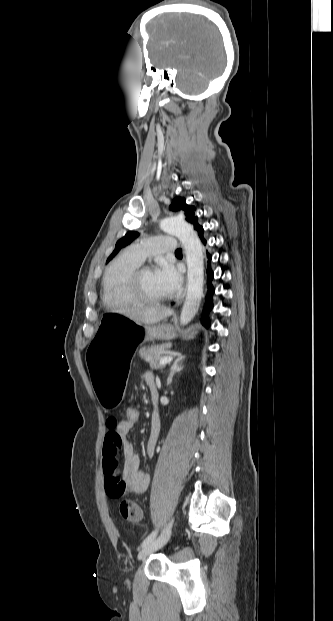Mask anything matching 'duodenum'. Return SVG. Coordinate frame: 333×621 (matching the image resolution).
Here are the masks:
<instances>
[{
    "mask_svg": "<svg viewBox=\"0 0 333 621\" xmlns=\"http://www.w3.org/2000/svg\"><path fill=\"white\" fill-rule=\"evenodd\" d=\"M150 390H151L152 397H153V398H155V396H156V387H155V384H151V385H150ZM152 422H153V424H154L155 426L159 424V416H158V413H157V411H156V410L153 412V415H152Z\"/></svg>",
    "mask_w": 333,
    "mask_h": 621,
    "instance_id": "duodenum-1",
    "label": "duodenum"
}]
</instances>
